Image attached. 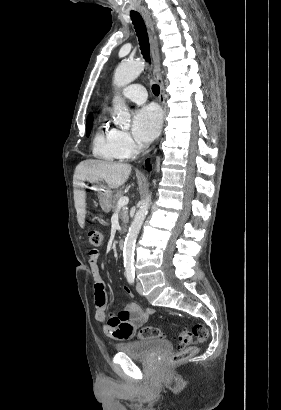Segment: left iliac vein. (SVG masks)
Returning a JSON list of instances; mask_svg holds the SVG:
<instances>
[{"label": "left iliac vein", "mask_w": 281, "mask_h": 410, "mask_svg": "<svg viewBox=\"0 0 281 410\" xmlns=\"http://www.w3.org/2000/svg\"><path fill=\"white\" fill-rule=\"evenodd\" d=\"M136 290H137V292L139 293V294H142L143 293V288H142V285H141V283L138 281L137 282V284H136Z\"/></svg>", "instance_id": "left-iliac-vein-1"}]
</instances>
